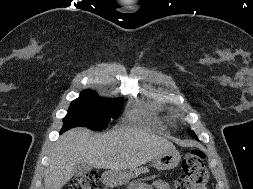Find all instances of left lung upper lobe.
I'll return each instance as SVG.
<instances>
[{
	"mask_svg": "<svg viewBox=\"0 0 253 189\" xmlns=\"http://www.w3.org/2000/svg\"><path fill=\"white\" fill-rule=\"evenodd\" d=\"M190 135H195V133L193 131L190 132Z\"/></svg>",
	"mask_w": 253,
	"mask_h": 189,
	"instance_id": "left-lung-upper-lobe-1",
	"label": "left lung upper lobe"
}]
</instances>
